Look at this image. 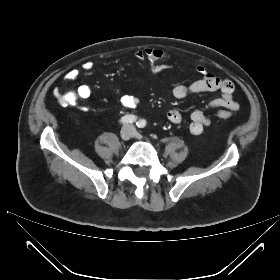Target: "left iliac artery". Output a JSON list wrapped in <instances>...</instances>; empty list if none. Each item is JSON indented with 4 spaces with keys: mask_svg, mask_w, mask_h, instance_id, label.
I'll return each instance as SVG.
<instances>
[{
    "mask_svg": "<svg viewBox=\"0 0 280 280\" xmlns=\"http://www.w3.org/2000/svg\"><path fill=\"white\" fill-rule=\"evenodd\" d=\"M136 125L139 128H144L146 126V121L144 119H141L136 123Z\"/></svg>",
    "mask_w": 280,
    "mask_h": 280,
    "instance_id": "obj_1",
    "label": "left iliac artery"
}]
</instances>
